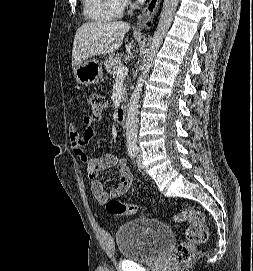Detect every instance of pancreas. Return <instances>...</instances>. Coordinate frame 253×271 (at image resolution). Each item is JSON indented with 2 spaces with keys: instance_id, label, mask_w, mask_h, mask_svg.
<instances>
[{
  "instance_id": "1",
  "label": "pancreas",
  "mask_w": 253,
  "mask_h": 271,
  "mask_svg": "<svg viewBox=\"0 0 253 271\" xmlns=\"http://www.w3.org/2000/svg\"><path fill=\"white\" fill-rule=\"evenodd\" d=\"M121 57H122V54L117 53V54L111 55L108 59H106L104 61V66H105L107 72L109 74L113 75V77L117 76L116 69L118 67L123 66V62L121 60ZM125 92H126V87H124L122 98L125 97Z\"/></svg>"
}]
</instances>
